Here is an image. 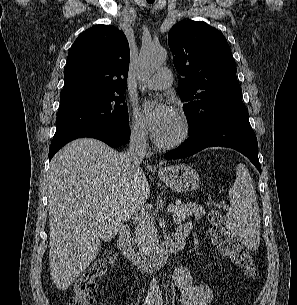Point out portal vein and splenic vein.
<instances>
[{
  "mask_svg": "<svg viewBox=\"0 0 297 305\" xmlns=\"http://www.w3.org/2000/svg\"><path fill=\"white\" fill-rule=\"evenodd\" d=\"M174 206H168L167 207V212H173Z\"/></svg>",
  "mask_w": 297,
  "mask_h": 305,
  "instance_id": "portal-vein-and-splenic-vein-1",
  "label": "portal vein and splenic vein"
}]
</instances>
